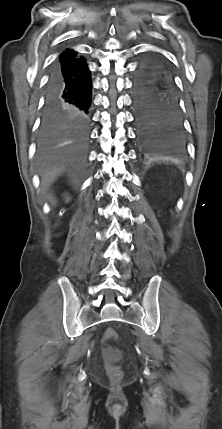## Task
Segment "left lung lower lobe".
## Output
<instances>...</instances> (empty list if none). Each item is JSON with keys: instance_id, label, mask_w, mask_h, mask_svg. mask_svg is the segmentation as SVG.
Here are the masks:
<instances>
[{"instance_id": "0a47b994", "label": "left lung lower lobe", "mask_w": 222, "mask_h": 429, "mask_svg": "<svg viewBox=\"0 0 222 429\" xmlns=\"http://www.w3.org/2000/svg\"><path fill=\"white\" fill-rule=\"evenodd\" d=\"M133 101L137 137L143 157L175 153L184 146L183 120L171 69L156 56L136 69Z\"/></svg>"}]
</instances>
